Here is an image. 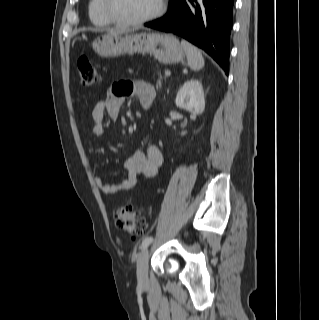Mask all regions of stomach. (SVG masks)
I'll return each mask as SVG.
<instances>
[{
	"mask_svg": "<svg viewBox=\"0 0 319 320\" xmlns=\"http://www.w3.org/2000/svg\"><path fill=\"white\" fill-rule=\"evenodd\" d=\"M93 50L101 57H115L124 53L150 54L163 64L183 62L184 50L172 34L119 33L97 37Z\"/></svg>",
	"mask_w": 319,
	"mask_h": 320,
	"instance_id": "0dacf381",
	"label": "stomach"
}]
</instances>
